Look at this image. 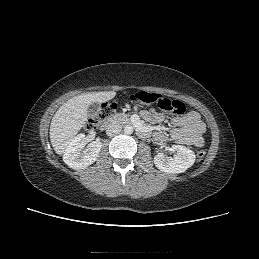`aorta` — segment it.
Here are the masks:
<instances>
[{"instance_id":"aorta-1","label":"aorta","mask_w":259,"mask_h":259,"mask_svg":"<svg viewBox=\"0 0 259 259\" xmlns=\"http://www.w3.org/2000/svg\"><path fill=\"white\" fill-rule=\"evenodd\" d=\"M124 133L128 134V135L132 134L133 133V127L131 125H126L124 127Z\"/></svg>"}]
</instances>
